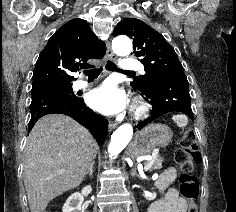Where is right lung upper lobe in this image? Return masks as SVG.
Instances as JSON below:
<instances>
[{
    "instance_id": "right-lung-upper-lobe-1",
    "label": "right lung upper lobe",
    "mask_w": 236,
    "mask_h": 212,
    "mask_svg": "<svg viewBox=\"0 0 236 212\" xmlns=\"http://www.w3.org/2000/svg\"><path fill=\"white\" fill-rule=\"evenodd\" d=\"M106 45L83 19H72L61 26L41 51L33 73V88L72 85L71 75L80 67H92L89 59H101Z\"/></svg>"
}]
</instances>
